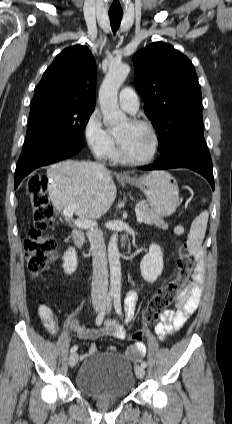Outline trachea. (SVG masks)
<instances>
[{
    "label": "trachea",
    "mask_w": 232,
    "mask_h": 424,
    "mask_svg": "<svg viewBox=\"0 0 232 424\" xmlns=\"http://www.w3.org/2000/svg\"><path fill=\"white\" fill-rule=\"evenodd\" d=\"M123 12H109V18L111 22V28L114 33L118 30L121 20H122Z\"/></svg>",
    "instance_id": "obj_1"
}]
</instances>
